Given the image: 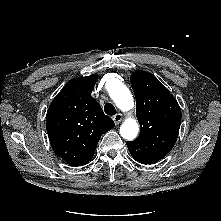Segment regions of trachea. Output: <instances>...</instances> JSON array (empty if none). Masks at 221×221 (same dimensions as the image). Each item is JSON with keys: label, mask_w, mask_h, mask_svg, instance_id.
Returning <instances> with one entry per match:
<instances>
[{"label": "trachea", "mask_w": 221, "mask_h": 221, "mask_svg": "<svg viewBox=\"0 0 221 221\" xmlns=\"http://www.w3.org/2000/svg\"><path fill=\"white\" fill-rule=\"evenodd\" d=\"M104 111L107 115H115L116 114V109L113 104L107 103L104 106Z\"/></svg>", "instance_id": "1"}]
</instances>
